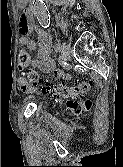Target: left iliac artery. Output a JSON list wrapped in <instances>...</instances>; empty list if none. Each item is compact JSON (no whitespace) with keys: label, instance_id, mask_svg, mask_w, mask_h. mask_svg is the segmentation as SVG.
Returning <instances> with one entry per match:
<instances>
[{"label":"left iliac artery","instance_id":"left-iliac-artery-1","mask_svg":"<svg viewBox=\"0 0 123 167\" xmlns=\"http://www.w3.org/2000/svg\"><path fill=\"white\" fill-rule=\"evenodd\" d=\"M54 49L56 52H60L62 50L61 44L60 43L56 44Z\"/></svg>","mask_w":123,"mask_h":167}]
</instances>
